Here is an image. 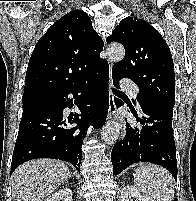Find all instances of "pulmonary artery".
I'll use <instances>...</instances> for the list:
<instances>
[{
  "label": "pulmonary artery",
  "instance_id": "1",
  "mask_svg": "<svg viewBox=\"0 0 196 201\" xmlns=\"http://www.w3.org/2000/svg\"><path fill=\"white\" fill-rule=\"evenodd\" d=\"M120 85L122 89L128 90L134 97L138 95L139 92L138 87L130 80L124 79L121 81Z\"/></svg>",
  "mask_w": 196,
  "mask_h": 201
}]
</instances>
